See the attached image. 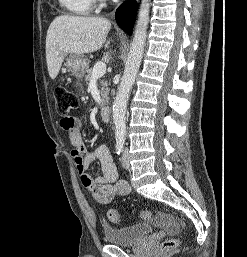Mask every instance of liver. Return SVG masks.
<instances>
[{
    "label": "liver",
    "instance_id": "1",
    "mask_svg": "<svg viewBox=\"0 0 247 257\" xmlns=\"http://www.w3.org/2000/svg\"><path fill=\"white\" fill-rule=\"evenodd\" d=\"M110 29L111 22L101 17H56L46 36V61L50 78L57 77L68 53L83 55L99 50ZM109 44L110 41L105 44V48Z\"/></svg>",
    "mask_w": 247,
    "mask_h": 257
}]
</instances>
